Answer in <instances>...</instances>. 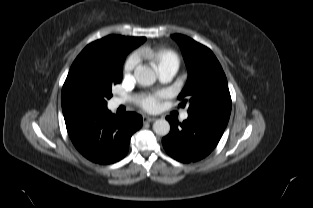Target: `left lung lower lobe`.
Returning <instances> with one entry per match:
<instances>
[{"instance_id":"1","label":"left lung lower lobe","mask_w":313,"mask_h":208,"mask_svg":"<svg viewBox=\"0 0 313 208\" xmlns=\"http://www.w3.org/2000/svg\"><path fill=\"white\" fill-rule=\"evenodd\" d=\"M170 133L162 139L167 153L180 162H195L206 157L216 147L228 121L216 117L188 115L179 123L171 117Z\"/></svg>"}]
</instances>
